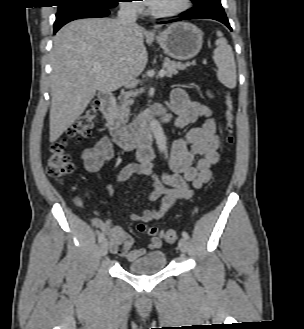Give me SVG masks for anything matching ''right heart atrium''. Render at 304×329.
<instances>
[{
    "instance_id": "d8ad5b80",
    "label": "right heart atrium",
    "mask_w": 304,
    "mask_h": 329,
    "mask_svg": "<svg viewBox=\"0 0 304 329\" xmlns=\"http://www.w3.org/2000/svg\"><path fill=\"white\" fill-rule=\"evenodd\" d=\"M126 2H129L127 4H125V9L133 12V13H140L143 9V5L141 3V1L138 0H125Z\"/></svg>"
}]
</instances>
